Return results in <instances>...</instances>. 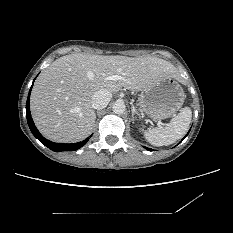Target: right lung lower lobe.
<instances>
[{
	"label": "right lung lower lobe",
	"mask_w": 233,
	"mask_h": 233,
	"mask_svg": "<svg viewBox=\"0 0 233 233\" xmlns=\"http://www.w3.org/2000/svg\"><path fill=\"white\" fill-rule=\"evenodd\" d=\"M32 86H33V84H32ZM31 89H32V87L30 88L27 103H26V117H27L28 126H29L31 132L33 133V135L40 142H42L45 146H47L49 149H51L52 151H55V152L75 151V150H78L79 148H81L82 146H84L88 142V138L81 141V142H78V143L63 144V143H54L52 141H49L40 134V132L35 127V124H34L32 118H31V114H30V106H29L30 103H29V101H30Z\"/></svg>",
	"instance_id": "98d812e1"
}]
</instances>
